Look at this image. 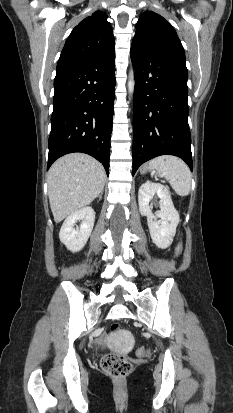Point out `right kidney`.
Segmentation results:
<instances>
[{
    "label": "right kidney",
    "mask_w": 233,
    "mask_h": 413,
    "mask_svg": "<svg viewBox=\"0 0 233 413\" xmlns=\"http://www.w3.org/2000/svg\"><path fill=\"white\" fill-rule=\"evenodd\" d=\"M80 221L79 228H74V225ZM95 221V212L92 207L87 206L81 208L68 216L64 221L59 238L60 241L72 252L80 251L86 244L91 235Z\"/></svg>",
    "instance_id": "obj_1"
}]
</instances>
